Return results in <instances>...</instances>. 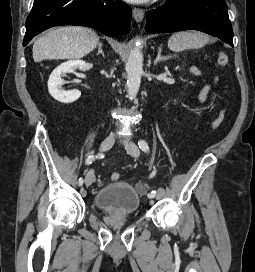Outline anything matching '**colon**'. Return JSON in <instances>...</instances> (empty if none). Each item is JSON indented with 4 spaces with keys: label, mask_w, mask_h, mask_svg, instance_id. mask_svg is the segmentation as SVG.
Wrapping results in <instances>:
<instances>
[{
    "label": "colon",
    "mask_w": 255,
    "mask_h": 272,
    "mask_svg": "<svg viewBox=\"0 0 255 272\" xmlns=\"http://www.w3.org/2000/svg\"><path fill=\"white\" fill-rule=\"evenodd\" d=\"M217 64L222 69L226 68L228 66L229 59H228V56H227L226 53L219 52L217 54ZM224 116H225V111H224V109H221L218 112V114L216 116V119H215V121L213 123V128L214 129H218L221 126V124H222V122L224 120ZM119 178H120V174L119 173L114 172V173L111 174V180L117 181V180H119Z\"/></svg>",
    "instance_id": "5ec220e1"
}]
</instances>
